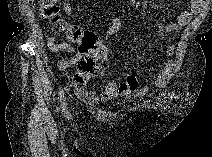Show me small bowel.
<instances>
[{
  "instance_id": "1",
  "label": "small bowel",
  "mask_w": 212,
  "mask_h": 157,
  "mask_svg": "<svg viewBox=\"0 0 212 157\" xmlns=\"http://www.w3.org/2000/svg\"><path fill=\"white\" fill-rule=\"evenodd\" d=\"M202 2L200 0H189V6L187 9L181 11L176 20L169 23L165 27V33L168 37H172L178 30L186 27L193 16L200 10ZM63 12L73 17L76 15V8L69 2L65 1L62 4ZM104 30L106 35L116 34L122 27V23L119 19L113 18L106 23L98 26ZM48 48L55 53H70L72 58L68 60H59L58 69L63 76H67V69L76 64L80 58V51L67 42H57L55 36H51L48 39ZM173 53V45L170 44L166 50L167 62L162 72L157 74L151 81V85L154 87H163L172 76L175 66L171 59ZM74 90L79 98L88 104L94 105L99 102L108 101L117 97H134L144 94L147 91V86H139L137 76L128 75L122 82L115 83L112 80H106L102 94L89 93L83 87L76 86L74 84Z\"/></svg>"
}]
</instances>
